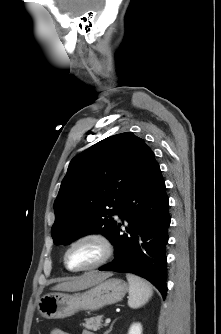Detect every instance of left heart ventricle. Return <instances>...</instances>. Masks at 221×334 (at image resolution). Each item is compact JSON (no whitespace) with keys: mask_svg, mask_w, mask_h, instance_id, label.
Segmentation results:
<instances>
[{"mask_svg":"<svg viewBox=\"0 0 221 334\" xmlns=\"http://www.w3.org/2000/svg\"><path fill=\"white\" fill-rule=\"evenodd\" d=\"M101 254L102 249L98 243L85 241L71 249L68 255V263L73 268L85 267L96 262Z\"/></svg>","mask_w":221,"mask_h":334,"instance_id":"b2bd125f","label":"left heart ventricle"}]
</instances>
